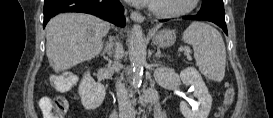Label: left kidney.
I'll return each mask as SVG.
<instances>
[{"label":"left kidney","mask_w":273,"mask_h":118,"mask_svg":"<svg viewBox=\"0 0 273 118\" xmlns=\"http://www.w3.org/2000/svg\"><path fill=\"white\" fill-rule=\"evenodd\" d=\"M180 78L183 84L194 88V96L198 99L197 107L192 110L186 102L180 103V111L184 118H207L211 110L212 97L199 72L193 67H188L181 71Z\"/></svg>","instance_id":"left-kidney-1"}]
</instances>
